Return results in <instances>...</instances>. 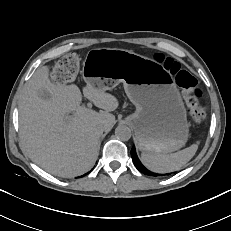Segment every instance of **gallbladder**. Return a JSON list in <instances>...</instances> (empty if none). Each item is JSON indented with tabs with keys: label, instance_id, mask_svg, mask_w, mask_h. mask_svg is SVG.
Segmentation results:
<instances>
[{
	"label": "gallbladder",
	"instance_id": "bac80fb5",
	"mask_svg": "<svg viewBox=\"0 0 231 231\" xmlns=\"http://www.w3.org/2000/svg\"><path fill=\"white\" fill-rule=\"evenodd\" d=\"M43 97H47V94H46V93H43Z\"/></svg>",
	"mask_w": 231,
	"mask_h": 231
}]
</instances>
